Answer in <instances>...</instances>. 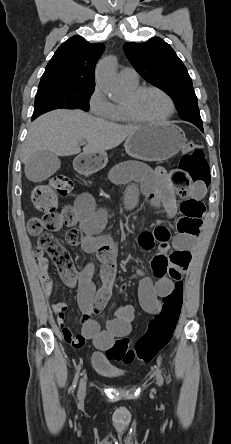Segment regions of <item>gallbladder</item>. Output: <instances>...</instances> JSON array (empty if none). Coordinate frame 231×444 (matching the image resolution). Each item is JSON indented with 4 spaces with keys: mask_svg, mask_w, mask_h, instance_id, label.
Here are the masks:
<instances>
[{
    "mask_svg": "<svg viewBox=\"0 0 231 444\" xmlns=\"http://www.w3.org/2000/svg\"><path fill=\"white\" fill-rule=\"evenodd\" d=\"M60 167L58 157L50 151H37L25 163L26 177L32 182H41L53 175Z\"/></svg>",
    "mask_w": 231,
    "mask_h": 444,
    "instance_id": "obj_1",
    "label": "gallbladder"
}]
</instances>
